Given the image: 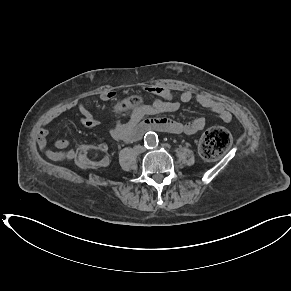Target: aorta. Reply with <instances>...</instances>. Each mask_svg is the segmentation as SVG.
<instances>
[{"label":"aorta","instance_id":"aorta-1","mask_svg":"<svg viewBox=\"0 0 291 291\" xmlns=\"http://www.w3.org/2000/svg\"><path fill=\"white\" fill-rule=\"evenodd\" d=\"M157 142L156 136L153 133H149L145 137V144L148 146H153Z\"/></svg>","mask_w":291,"mask_h":291}]
</instances>
